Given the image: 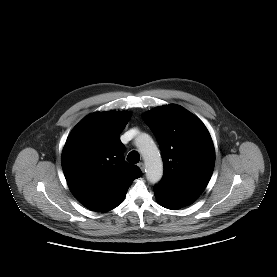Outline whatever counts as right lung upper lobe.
<instances>
[{
  "mask_svg": "<svg viewBox=\"0 0 277 277\" xmlns=\"http://www.w3.org/2000/svg\"><path fill=\"white\" fill-rule=\"evenodd\" d=\"M130 119L126 112H97L71 131L62 168L73 195L87 208L106 212L123 196L140 169L124 159L120 133Z\"/></svg>",
  "mask_w": 277,
  "mask_h": 277,
  "instance_id": "obj_1",
  "label": "right lung upper lobe"
}]
</instances>
